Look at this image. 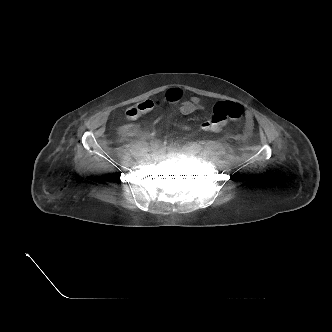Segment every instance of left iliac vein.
Masks as SVG:
<instances>
[{
	"label": "left iliac vein",
	"mask_w": 332,
	"mask_h": 332,
	"mask_svg": "<svg viewBox=\"0 0 332 332\" xmlns=\"http://www.w3.org/2000/svg\"><path fill=\"white\" fill-rule=\"evenodd\" d=\"M182 151L184 153H186L187 155H189V156H194L195 155L194 151L192 150L191 146H189V145H184L182 147Z\"/></svg>",
	"instance_id": "left-iliac-vein-1"
}]
</instances>
